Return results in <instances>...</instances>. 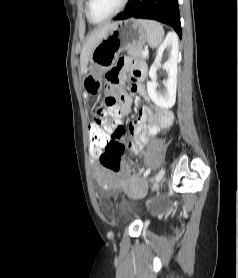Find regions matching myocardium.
<instances>
[{"label":"myocardium","instance_id":"1","mask_svg":"<svg viewBox=\"0 0 238 278\" xmlns=\"http://www.w3.org/2000/svg\"><path fill=\"white\" fill-rule=\"evenodd\" d=\"M128 1L129 0H122L121 4L119 5V7L113 13L108 15L107 17L102 18V19H95L91 15V3H92V0H87V3H86V16H87L88 20L90 22L94 23V24L103 23V22H105V21L115 17L116 15H118L125 8V6L127 5Z\"/></svg>","mask_w":238,"mask_h":278}]
</instances>
